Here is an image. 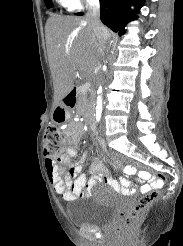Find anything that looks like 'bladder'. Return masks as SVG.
<instances>
[{"label": "bladder", "instance_id": "1", "mask_svg": "<svg viewBox=\"0 0 183 246\" xmlns=\"http://www.w3.org/2000/svg\"><path fill=\"white\" fill-rule=\"evenodd\" d=\"M117 197L105 185H100L81 206L68 209V219L77 227H107L115 216Z\"/></svg>", "mask_w": 183, "mask_h": 246}]
</instances>
